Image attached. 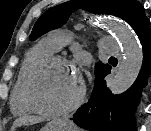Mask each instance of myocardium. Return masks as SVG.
I'll return each mask as SVG.
<instances>
[{
	"instance_id": "f54148a6",
	"label": "myocardium",
	"mask_w": 151,
	"mask_h": 131,
	"mask_svg": "<svg viewBox=\"0 0 151 131\" xmlns=\"http://www.w3.org/2000/svg\"><path fill=\"white\" fill-rule=\"evenodd\" d=\"M65 65L69 68H71L79 77L80 80V86L77 94L75 97L65 104L62 107L59 108H46L42 106L35 98L34 93H33V84L34 80L39 75L42 73L44 70L54 66V65ZM85 96V84L78 73L77 69L75 68L74 64L66 59L65 57H62L60 55H50L42 60L38 61L35 63L29 70L26 79H25V84H24V101L28 108L35 113L45 115V116H59L63 115L66 113H69L76 109L83 101Z\"/></svg>"
}]
</instances>
